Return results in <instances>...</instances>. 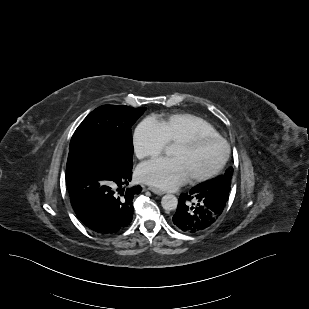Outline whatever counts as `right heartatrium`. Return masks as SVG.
I'll return each mask as SVG.
<instances>
[{
    "label": "right heart atrium",
    "mask_w": 309,
    "mask_h": 309,
    "mask_svg": "<svg viewBox=\"0 0 309 309\" xmlns=\"http://www.w3.org/2000/svg\"><path fill=\"white\" fill-rule=\"evenodd\" d=\"M167 145L165 137L155 121L143 119L133 132V147L139 159L160 155Z\"/></svg>",
    "instance_id": "1"
}]
</instances>
